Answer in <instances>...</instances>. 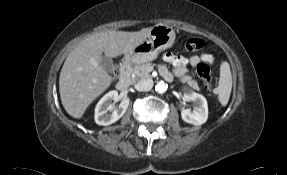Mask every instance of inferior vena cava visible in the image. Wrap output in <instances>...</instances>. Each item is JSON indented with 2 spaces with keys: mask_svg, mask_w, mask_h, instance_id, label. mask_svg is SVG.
Instances as JSON below:
<instances>
[{
  "mask_svg": "<svg viewBox=\"0 0 287 175\" xmlns=\"http://www.w3.org/2000/svg\"><path fill=\"white\" fill-rule=\"evenodd\" d=\"M152 87H153V80H151V79L140 80L135 85V88L138 91H148Z\"/></svg>",
  "mask_w": 287,
  "mask_h": 175,
  "instance_id": "obj_1",
  "label": "inferior vena cava"
}]
</instances>
